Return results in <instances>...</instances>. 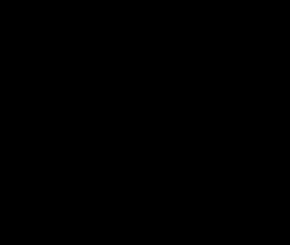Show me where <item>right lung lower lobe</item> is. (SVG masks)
Listing matches in <instances>:
<instances>
[{
    "label": "right lung lower lobe",
    "instance_id": "98d812e1",
    "mask_svg": "<svg viewBox=\"0 0 290 245\" xmlns=\"http://www.w3.org/2000/svg\"><path fill=\"white\" fill-rule=\"evenodd\" d=\"M33 149L43 164L57 177L69 183H89L105 177L118 162L121 142L102 160L89 165H76L45 153L35 143Z\"/></svg>",
    "mask_w": 290,
    "mask_h": 245
}]
</instances>
